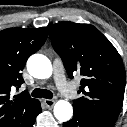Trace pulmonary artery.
<instances>
[{
	"label": "pulmonary artery",
	"mask_w": 127,
	"mask_h": 127,
	"mask_svg": "<svg viewBox=\"0 0 127 127\" xmlns=\"http://www.w3.org/2000/svg\"><path fill=\"white\" fill-rule=\"evenodd\" d=\"M52 76L61 94L67 97L70 96L71 90L65 81L62 62L58 57L53 62Z\"/></svg>",
	"instance_id": "pulmonary-artery-1"
}]
</instances>
